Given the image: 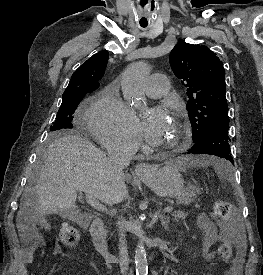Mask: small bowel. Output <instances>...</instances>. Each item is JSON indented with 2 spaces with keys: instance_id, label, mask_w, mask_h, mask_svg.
Listing matches in <instances>:
<instances>
[{
  "instance_id": "obj_1",
  "label": "small bowel",
  "mask_w": 263,
  "mask_h": 275,
  "mask_svg": "<svg viewBox=\"0 0 263 275\" xmlns=\"http://www.w3.org/2000/svg\"><path fill=\"white\" fill-rule=\"evenodd\" d=\"M198 227L203 233V258L209 260L213 257V247L219 240L218 228L213 224L205 215H200L197 219ZM39 245V236L32 232L30 234V245L27 248L21 264L19 265V275H32L26 269V264L31 263L35 254V251ZM61 250L56 249L55 254H60ZM239 262L234 266L239 273ZM212 275V274H208Z\"/></svg>"
}]
</instances>
